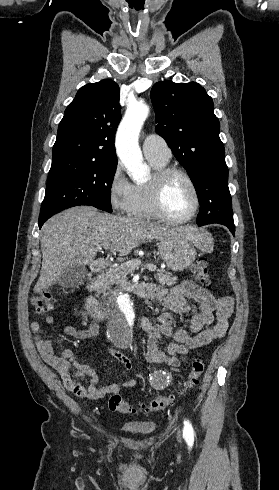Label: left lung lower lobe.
<instances>
[{"mask_svg": "<svg viewBox=\"0 0 279 490\" xmlns=\"http://www.w3.org/2000/svg\"><path fill=\"white\" fill-rule=\"evenodd\" d=\"M229 228L230 232L235 235V226L234 225H225Z\"/></svg>", "mask_w": 279, "mask_h": 490, "instance_id": "left-lung-lower-lobe-1", "label": "left lung lower lobe"}]
</instances>
